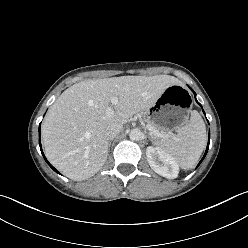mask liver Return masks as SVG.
<instances>
[{
    "label": "liver",
    "instance_id": "obj_1",
    "mask_svg": "<svg viewBox=\"0 0 248 248\" xmlns=\"http://www.w3.org/2000/svg\"><path fill=\"white\" fill-rule=\"evenodd\" d=\"M175 84L180 81L173 76L155 75L84 80L72 85L51 106L42 125L46 157L70 179L93 176L107 159V127L127 123ZM111 97H117L118 103L108 117Z\"/></svg>",
    "mask_w": 248,
    "mask_h": 248
}]
</instances>
